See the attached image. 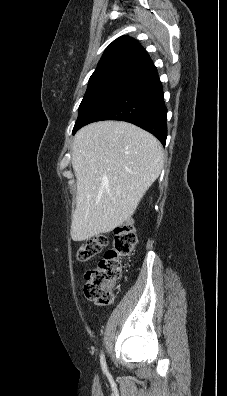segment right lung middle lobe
<instances>
[{"mask_svg":"<svg viewBox=\"0 0 227 396\" xmlns=\"http://www.w3.org/2000/svg\"><path fill=\"white\" fill-rule=\"evenodd\" d=\"M133 71L128 69H110L93 73L84 98L79 107L78 119L75 130L87 116L105 97L115 90Z\"/></svg>","mask_w":227,"mask_h":396,"instance_id":"right-lung-middle-lobe-1","label":"right lung middle lobe"}]
</instances>
